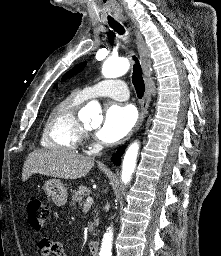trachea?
<instances>
[{
    "label": "trachea",
    "instance_id": "obj_1",
    "mask_svg": "<svg viewBox=\"0 0 221 256\" xmlns=\"http://www.w3.org/2000/svg\"><path fill=\"white\" fill-rule=\"evenodd\" d=\"M111 28L116 30L120 35L125 33V29L118 22L111 21L109 22ZM135 64L133 65V75H132V83L135 87L137 96L139 99L143 97L145 91L144 80L142 77L141 66L136 57H133Z\"/></svg>",
    "mask_w": 221,
    "mask_h": 256
}]
</instances>
